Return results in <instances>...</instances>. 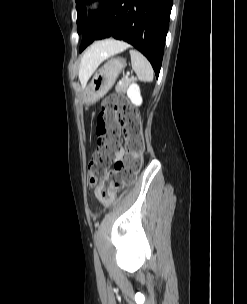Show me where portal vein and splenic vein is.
<instances>
[{
  "mask_svg": "<svg viewBox=\"0 0 247 304\" xmlns=\"http://www.w3.org/2000/svg\"><path fill=\"white\" fill-rule=\"evenodd\" d=\"M130 75V73L128 72V73H126V76H129Z\"/></svg>",
  "mask_w": 247,
  "mask_h": 304,
  "instance_id": "18ae733b",
  "label": "portal vein and splenic vein"
}]
</instances>
